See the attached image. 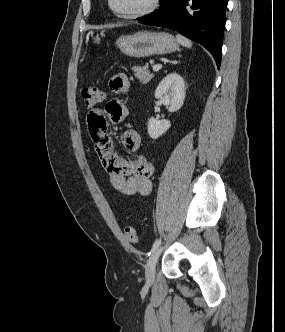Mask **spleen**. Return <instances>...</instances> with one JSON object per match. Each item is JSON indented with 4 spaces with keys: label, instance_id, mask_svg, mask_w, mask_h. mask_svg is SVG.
I'll return each mask as SVG.
<instances>
[{
    "label": "spleen",
    "instance_id": "obj_1",
    "mask_svg": "<svg viewBox=\"0 0 285 332\" xmlns=\"http://www.w3.org/2000/svg\"><path fill=\"white\" fill-rule=\"evenodd\" d=\"M176 40L178 41V43H180L184 47H187V48H191L192 47V42L189 39L183 37L180 34L176 35Z\"/></svg>",
    "mask_w": 285,
    "mask_h": 332
}]
</instances>
